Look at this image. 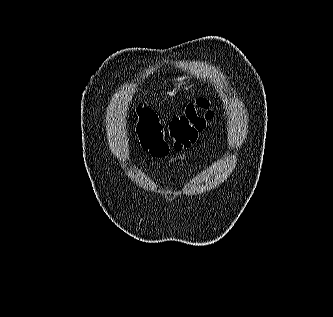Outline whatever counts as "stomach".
Wrapping results in <instances>:
<instances>
[{"label": "stomach", "mask_w": 333, "mask_h": 317, "mask_svg": "<svg viewBox=\"0 0 333 317\" xmlns=\"http://www.w3.org/2000/svg\"><path fill=\"white\" fill-rule=\"evenodd\" d=\"M178 88L183 86L185 83L183 82V78L177 79V82L175 83Z\"/></svg>", "instance_id": "0dacf381"}]
</instances>
